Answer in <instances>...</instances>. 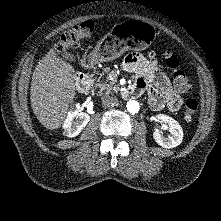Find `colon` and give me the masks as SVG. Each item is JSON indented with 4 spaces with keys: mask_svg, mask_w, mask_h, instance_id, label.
<instances>
[{
    "mask_svg": "<svg viewBox=\"0 0 221 221\" xmlns=\"http://www.w3.org/2000/svg\"><path fill=\"white\" fill-rule=\"evenodd\" d=\"M94 28V22L92 20H86L65 30L60 36L57 50L64 53L78 47L82 39L92 35ZM161 56L169 69L177 88L181 92H190L191 84L181 68L178 58L168 50H164ZM149 57L154 59V54H150ZM197 109L198 102L194 98H188L185 102L184 118L188 121L191 120L197 112Z\"/></svg>",
    "mask_w": 221,
    "mask_h": 221,
    "instance_id": "obj_1",
    "label": "colon"
}]
</instances>
